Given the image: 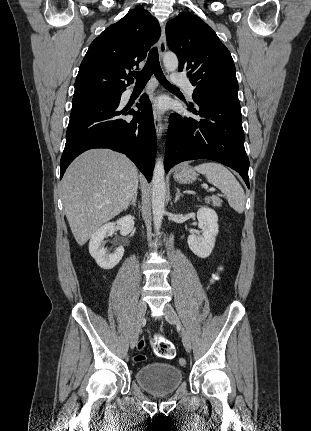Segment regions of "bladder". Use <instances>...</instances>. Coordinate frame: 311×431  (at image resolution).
<instances>
[{
    "instance_id": "1",
    "label": "bladder",
    "mask_w": 311,
    "mask_h": 431,
    "mask_svg": "<svg viewBox=\"0 0 311 431\" xmlns=\"http://www.w3.org/2000/svg\"><path fill=\"white\" fill-rule=\"evenodd\" d=\"M135 378L147 392L165 395L174 392L181 385L183 372L169 363H150L139 367Z\"/></svg>"
}]
</instances>
